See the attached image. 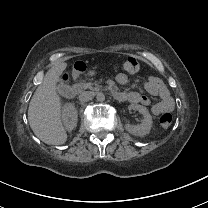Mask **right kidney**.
<instances>
[{"instance_id":"ca27d5eb","label":"right kidney","mask_w":208,"mask_h":208,"mask_svg":"<svg viewBox=\"0 0 208 208\" xmlns=\"http://www.w3.org/2000/svg\"><path fill=\"white\" fill-rule=\"evenodd\" d=\"M77 110L72 103H65L62 106L61 119L66 130L71 131L77 125Z\"/></svg>"}]
</instances>
